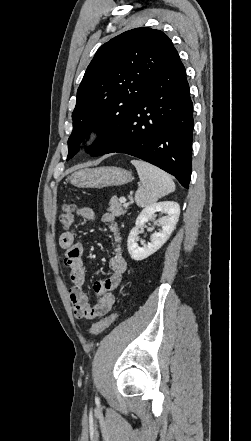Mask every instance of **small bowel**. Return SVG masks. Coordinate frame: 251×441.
I'll list each match as a JSON object with an SVG mask.
<instances>
[{"label":"small bowel","mask_w":251,"mask_h":441,"mask_svg":"<svg viewBox=\"0 0 251 441\" xmlns=\"http://www.w3.org/2000/svg\"><path fill=\"white\" fill-rule=\"evenodd\" d=\"M77 216L84 220H93L95 213L90 207H81ZM102 223L109 229L113 240V252L109 259L110 275L93 284L98 299L92 304L84 292L85 269L83 265V245L76 240L73 232L67 231L60 235L59 244L64 250V264L70 270L68 288L69 298L77 318L92 319L101 317L111 311L115 304L114 291L121 283L126 272L127 262L122 249V234L115 216L112 213L102 215Z\"/></svg>","instance_id":"obj_1"}]
</instances>
